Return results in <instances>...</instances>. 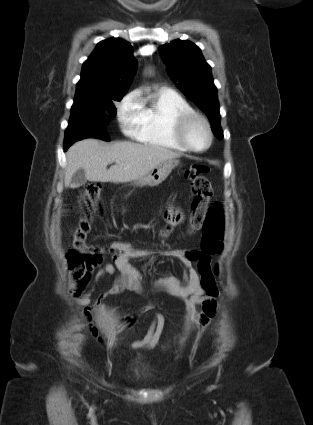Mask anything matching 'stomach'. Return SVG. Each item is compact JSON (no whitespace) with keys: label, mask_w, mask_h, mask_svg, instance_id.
Returning a JSON list of instances; mask_svg holds the SVG:
<instances>
[{"label":"stomach","mask_w":313,"mask_h":425,"mask_svg":"<svg viewBox=\"0 0 313 425\" xmlns=\"http://www.w3.org/2000/svg\"><path fill=\"white\" fill-rule=\"evenodd\" d=\"M179 161L175 159H168L157 166H155L153 169H151L147 174L144 176L136 179L134 181V184L136 186H157L161 184L171 173V171L178 165Z\"/></svg>","instance_id":"stomach-1"}]
</instances>
